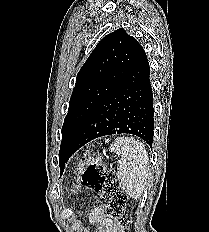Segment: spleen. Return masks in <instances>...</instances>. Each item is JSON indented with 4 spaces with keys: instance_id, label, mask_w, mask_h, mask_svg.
<instances>
[{
    "instance_id": "spleen-1",
    "label": "spleen",
    "mask_w": 209,
    "mask_h": 232,
    "mask_svg": "<svg viewBox=\"0 0 209 232\" xmlns=\"http://www.w3.org/2000/svg\"><path fill=\"white\" fill-rule=\"evenodd\" d=\"M110 150L118 160V178L125 191L133 199H139L148 178V153L142 142L132 137H117Z\"/></svg>"
}]
</instances>
